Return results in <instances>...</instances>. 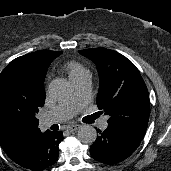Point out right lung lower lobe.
Listing matches in <instances>:
<instances>
[{
	"label": "right lung lower lobe",
	"mask_w": 171,
	"mask_h": 171,
	"mask_svg": "<svg viewBox=\"0 0 171 171\" xmlns=\"http://www.w3.org/2000/svg\"><path fill=\"white\" fill-rule=\"evenodd\" d=\"M62 140L61 131L40 133L14 162L32 171H43L57 161L58 145Z\"/></svg>",
	"instance_id": "1"
}]
</instances>
